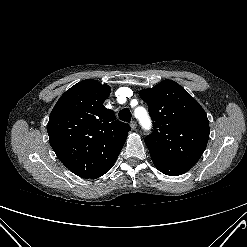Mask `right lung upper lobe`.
<instances>
[{
  "label": "right lung upper lobe",
  "instance_id": "1",
  "mask_svg": "<svg viewBox=\"0 0 247 247\" xmlns=\"http://www.w3.org/2000/svg\"><path fill=\"white\" fill-rule=\"evenodd\" d=\"M111 88L86 79L54 106L47 131L59 160L74 174L93 179L116 161L130 131L104 107Z\"/></svg>",
  "mask_w": 247,
  "mask_h": 247
}]
</instances>
